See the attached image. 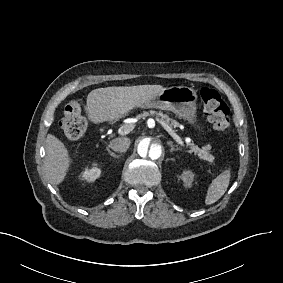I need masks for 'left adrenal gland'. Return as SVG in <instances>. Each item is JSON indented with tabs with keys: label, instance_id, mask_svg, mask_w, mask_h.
<instances>
[{
	"label": "left adrenal gland",
	"instance_id": "left-adrenal-gland-1",
	"mask_svg": "<svg viewBox=\"0 0 283 283\" xmlns=\"http://www.w3.org/2000/svg\"><path fill=\"white\" fill-rule=\"evenodd\" d=\"M167 144L171 147L170 152L180 150V148H178V147L175 148V146L173 145V142H172V141H168Z\"/></svg>",
	"mask_w": 283,
	"mask_h": 283
}]
</instances>
